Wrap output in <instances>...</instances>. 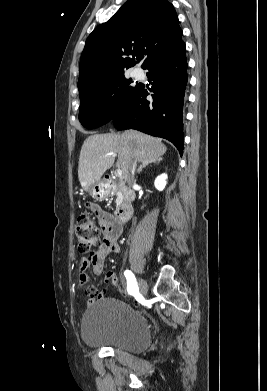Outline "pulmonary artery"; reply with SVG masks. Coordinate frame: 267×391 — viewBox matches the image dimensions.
<instances>
[{
  "label": "pulmonary artery",
  "mask_w": 267,
  "mask_h": 391,
  "mask_svg": "<svg viewBox=\"0 0 267 391\" xmlns=\"http://www.w3.org/2000/svg\"><path fill=\"white\" fill-rule=\"evenodd\" d=\"M133 74L136 78H140L143 76V72L139 69L135 70Z\"/></svg>",
  "instance_id": "e3ab8cb5"
}]
</instances>
